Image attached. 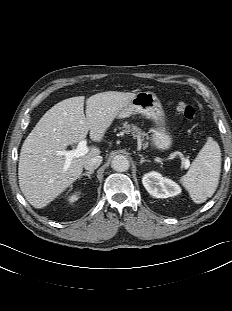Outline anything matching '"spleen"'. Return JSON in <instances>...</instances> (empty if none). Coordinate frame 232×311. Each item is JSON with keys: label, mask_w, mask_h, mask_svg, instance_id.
Here are the masks:
<instances>
[{"label": "spleen", "mask_w": 232, "mask_h": 311, "mask_svg": "<svg viewBox=\"0 0 232 311\" xmlns=\"http://www.w3.org/2000/svg\"><path fill=\"white\" fill-rule=\"evenodd\" d=\"M221 172V151L218 143L209 137L180 181L192 200L204 203L217 189Z\"/></svg>", "instance_id": "1"}]
</instances>
